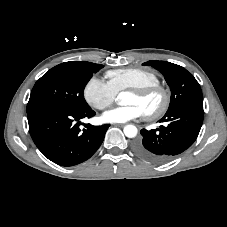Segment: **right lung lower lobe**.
I'll return each instance as SVG.
<instances>
[{"mask_svg":"<svg viewBox=\"0 0 227 227\" xmlns=\"http://www.w3.org/2000/svg\"><path fill=\"white\" fill-rule=\"evenodd\" d=\"M28 113L29 131L38 149L52 162L73 166L89 159L100 147L109 124L80 129L81 119L95 112L43 106Z\"/></svg>","mask_w":227,"mask_h":227,"instance_id":"98d812e1","label":"right lung lower lobe"}]
</instances>
